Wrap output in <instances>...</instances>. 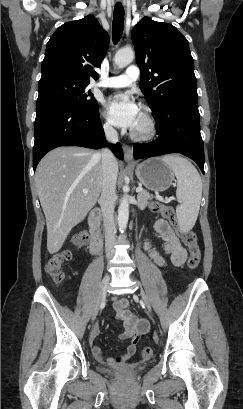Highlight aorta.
<instances>
[{
	"label": "aorta",
	"instance_id": "762f6f07",
	"mask_svg": "<svg viewBox=\"0 0 243 409\" xmlns=\"http://www.w3.org/2000/svg\"><path fill=\"white\" fill-rule=\"evenodd\" d=\"M135 57L134 51L130 47L120 49L114 57V63L118 68H124L129 65ZM128 189L127 186L123 188L124 191ZM129 219V203L127 197H123L118 208V227L119 231L123 233L127 227Z\"/></svg>",
	"mask_w": 243,
	"mask_h": 409
}]
</instances>
